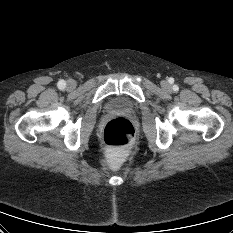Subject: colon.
<instances>
[{"mask_svg":"<svg viewBox=\"0 0 233 233\" xmlns=\"http://www.w3.org/2000/svg\"><path fill=\"white\" fill-rule=\"evenodd\" d=\"M103 142L114 150V159H123L135 142V129L126 118L118 117L107 123L102 134Z\"/></svg>","mask_w":233,"mask_h":233,"instance_id":"obj_1","label":"colon"}]
</instances>
